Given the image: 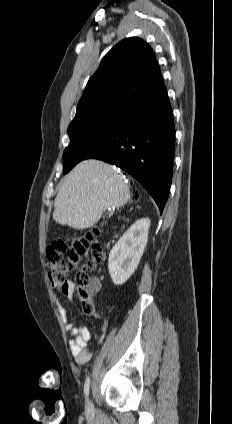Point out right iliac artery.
I'll list each match as a JSON object with an SVG mask.
<instances>
[{
  "label": "right iliac artery",
  "instance_id": "obj_1",
  "mask_svg": "<svg viewBox=\"0 0 232 424\" xmlns=\"http://www.w3.org/2000/svg\"><path fill=\"white\" fill-rule=\"evenodd\" d=\"M89 388H90V378L88 377L85 381V384H84V394H85L86 397L89 394Z\"/></svg>",
  "mask_w": 232,
  "mask_h": 424
}]
</instances>
